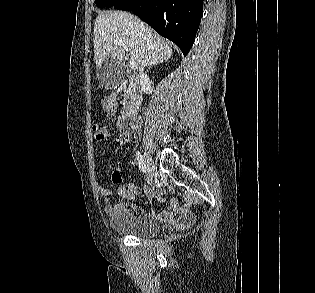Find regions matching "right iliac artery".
I'll return each instance as SVG.
<instances>
[{"instance_id": "right-iliac-artery-1", "label": "right iliac artery", "mask_w": 315, "mask_h": 293, "mask_svg": "<svg viewBox=\"0 0 315 293\" xmlns=\"http://www.w3.org/2000/svg\"><path fill=\"white\" fill-rule=\"evenodd\" d=\"M136 156H137V161H138L139 169H140L143 173H146L147 168H146V165H145L144 160H143V158H142V155L140 154V152H136Z\"/></svg>"}]
</instances>
